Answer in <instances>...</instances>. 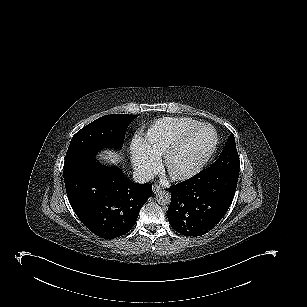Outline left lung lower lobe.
Listing matches in <instances>:
<instances>
[{
  "instance_id": "obj_1",
  "label": "left lung lower lobe",
  "mask_w": 307,
  "mask_h": 307,
  "mask_svg": "<svg viewBox=\"0 0 307 307\" xmlns=\"http://www.w3.org/2000/svg\"><path fill=\"white\" fill-rule=\"evenodd\" d=\"M238 177L202 171L170 187L167 212L172 228L180 234L198 236L217 225L234 198Z\"/></svg>"
}]
</instances>
